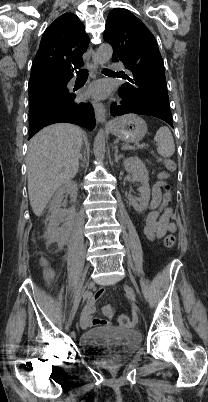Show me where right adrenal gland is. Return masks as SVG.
<instances>
[{"instance_id": "right-adrenal-gland-1", "label": "right adrenal gland", "mask_w": 208, "mask_h": 402, "mask_svg": "<svg viewBox=\"0 0 208 402\" xmlns=\"http://www.w3.org/2000/svg\"><path fill=\"white\" fill-rule=\"evenodd\" d=\"M80 160H82V162H84V160H85V152H84V158H82V156H81ZM81 168H83V164H82Z\"/></svg>"}]
</instances>
